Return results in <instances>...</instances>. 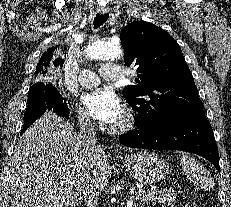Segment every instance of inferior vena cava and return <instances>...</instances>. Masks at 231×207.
Here are the masks:
<instances>
[{
    "mask_svg": "<svg viewBox=\"0 0 231 207\" xmlns=\"http://www.w3.org/2000/svg\"><path fill=\"white\" fill-rule=\"evenodd\" d=\"M78 146L89 157H94L100 147L96 145V125L88 117L80 118V130L77 136ZM82 195L87 207L98 206V193L96 192L90 174L84 175L82 179Z\"/></svg>",
    "mask_w": 231,
    "mask_h": 207,
    "instance_id": "1",
    "label": "inferior vena cava"
}]
</instances>
